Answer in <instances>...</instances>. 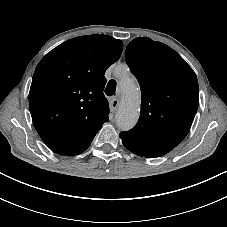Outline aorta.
<instances>
[{
  "label": "aorta",
  "mask_w": 227,
  "mask_h": 227,
  "mask_svg": "<svg viewBox=\"0 0 227 227\" xmlns=\"http://www.w3.org/2000/svg\"><path fill=\"white\" fill-rule=\"evenodd\" d=\"M119 86L122 94V104L116 113V123L122 130H129L139 119L141 94L134 78L118 69Z\"/></svg>",
  "instance_id": "obj_1"
}]
</instances>
